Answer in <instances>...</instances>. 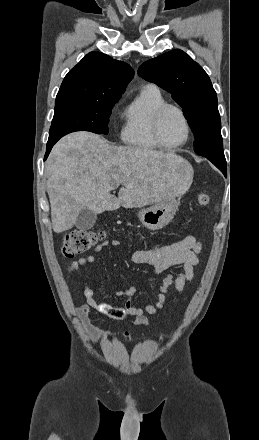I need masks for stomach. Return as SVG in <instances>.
<instances>
[{
  "instance_id": "obj_1",
  "label": "stomach",
  "mask_w": 259,
  "mask_h": 440,
  "mask_svg": "<svg viewBox=\"0 0 259 440\" xmlns=\"http://www.w3.org/2000/svg\"><path fill=\"white\" fill-rule=\"evenodd\" d=\"M178 205L179 201L175 198L164 199L151 207L140 210L137 216L147 229L160 230L173 219Z\"/></svg>"
}]
</instances>
